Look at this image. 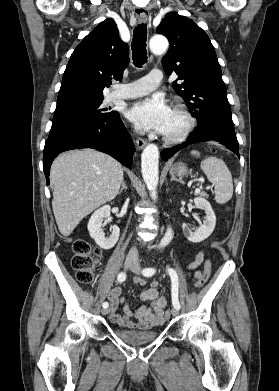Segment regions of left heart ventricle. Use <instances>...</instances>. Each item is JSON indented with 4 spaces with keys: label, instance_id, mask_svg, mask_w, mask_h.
I'll return each mask as SVG.
<instances>
[{
    "label": "left heart ventricle",
    "instance_id": "1",
    "mask_svg": "<svg viewBox=\"0 0 279 391\" xmlns=\"http://www.w3.org/2000/svg\"><path fill=\"white\" fill-rule=\"evenodd\" d=\"M184 126V118L180 114L171 110L163 134L175 135L179 133L184 128Z\"/></svg>",
    "mask_w": 279,
    "mask_h": 391
}]
</instances>
